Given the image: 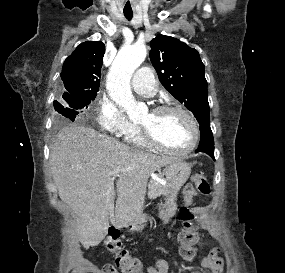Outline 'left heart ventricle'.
Segmentation results:
<instances>
[{"mask_svg": "<svg viewBox=\"0 0 285 273\" xmlns=\"http://www.w3.org/2000/svg\"><path fill=\"white\" fill-rule=\"evenodd\" d=\"M162 144L183 149L192 140V127L188 119L179 112H147L139 120Z\"/></svg>", "mask_w": 285, "mask_h": 273, "instance_id": "left-heart-ventricle-1", "label": "left heart ventricle"}]
</instances>
